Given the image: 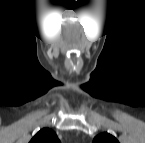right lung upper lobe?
I'll use <instances>...</instances> for the list:
<instances>
[{
  "instance_id": "right-lung-upper-lobe-1",
  "label": "right lung upper lobe",
  "mask_w": 145,
  "mask_h": 143,
  "mask_svg": "<svg viewBox=\"0 0 145 143\" xmlns=\"http://www.w3.org/2000/svg\"><path fill=\"white\" fill-rule=\"evenodd\" d=\"M30 143H60L56 133L49 129L43 128L31 139Z\"/></svg>"
}]
</instances>
